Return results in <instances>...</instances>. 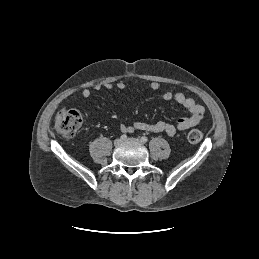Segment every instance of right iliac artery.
I'll return each instance as SVG.
<instances>
[{"label":"right iliac artery","mask_w":259,"mask_h":259,"mask_svg":"<svg viewBox=\"0 0 259 259\" xmlns=\"http://www.w3.org/2000/svg\"><path fill=\"white\" fill-rule=\"evenodd\" d=\"M123 141L124 140H126L127 139V135L126 134H123V135H121V137H120Z\"/></svg>","instance_id":"1"}]
</instances>
